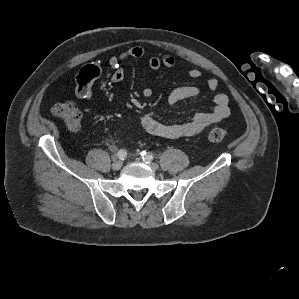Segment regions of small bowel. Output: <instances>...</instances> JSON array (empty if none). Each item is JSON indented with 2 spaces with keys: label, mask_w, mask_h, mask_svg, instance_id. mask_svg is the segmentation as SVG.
<instances>
[{
  "label": "small bowel",
  "mask_w": 299,
  "mask_h": 299,
  "mask_svg": "<svg viewBox=\"0 0 299 299\" xmlns=\"http://www.w3.org/2000/svg\"><path fill=\"white\" fill-rule=\"evenodd\" d=\"M148 57V66L151 70L156 71L161 67L170 68L175 61L172 56L165 55L162 57L148 55L144 48L140 46L131 47L118 56H112L109 59V65L112 69L111 81L118 83L125 77V67L130 58ZM193 79L201 77L202 73L197 68H192L188 72ZM100 75V67L97 64L84 66L78 76L75 94L80 100H88L92 96V83ZM207 87L215 91L218 87V81L211 78L207 82ZM153 91L150 87H145L142 91L144 97H150ZM201 93L197 86L187 85L180 86L172 90L168 97L171 106H177L181 101L193 98ZM214 108L209 112L196 113L190 120L183 123L167 124L158 120L153 113H145L140 117V127L150 135L176 139L180 137L194 136L212 124L218 123L230 114L229 98L224 93H216L213 97ZM111 150H116L111 147Z\"/></svg>",
  "instance_id": "obj_1"
}]
</instances>
